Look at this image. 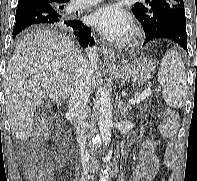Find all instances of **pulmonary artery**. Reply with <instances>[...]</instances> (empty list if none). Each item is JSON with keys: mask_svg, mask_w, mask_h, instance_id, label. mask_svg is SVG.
<instances>
[{"mask_svg": "<svg viewBox=\"0 0 197 181\" xmlns=\"http://www.w3.org/2000/svg\"><path fill=\"white\" fill-rule=\"evenodd\" d=\"M101 0H78L74 5L72 9H82L91 5H94Z\"/></svg>", "mask_w": 197, "mask_h": 181, "instance_id": "obj_1", "label": "pulmonary artery"}]
</instances>
